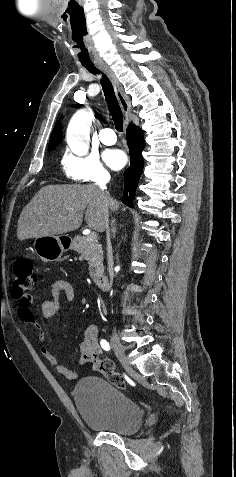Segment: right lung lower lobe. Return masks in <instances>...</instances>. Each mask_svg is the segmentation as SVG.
<instances>
[{
    "label": "right lung lower lobe",
    "mask_w": 236,
    "mask_h": 477,
    "mask_svg": "<svg viewBox=\"0 0 236 477\" xmlns=\"http://www.w3.org/2000/svg\"><path fill=\"white\" fill-rule=\"evenodd\" d=\"M127 143L130 150V167L124 172L122 202L132 207L139 178L143 172L142 151L145 147L143 131L134 124L127 128Z\"/></svg>",
    "instance_id": "obj_1"
}]
</instances>
